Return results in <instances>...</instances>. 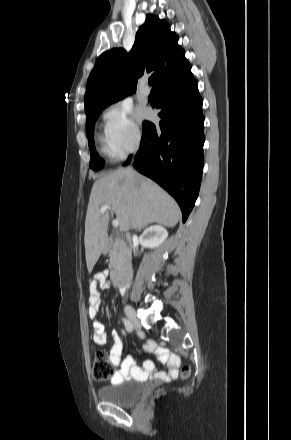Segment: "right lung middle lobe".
Segmentation results:
<instances>
[{"mask_svg": "<svg viewBox=\"0 0 291 440\" xmlns=\"http://www.w3.org/2000/svg\"><path fill=\"white\" fill-rule=\"evenodd\" d=\"M107 106L108 105L99 106L86 113V134L89 140V149L91 153V160L89 166L93 170H99L103 167V165L100 163L101 159L99 155L95 152V146L93 142V132H94V123L99 113Z\"/></svg>", "mask_w": 291, "mask_h": 440, "instance_id": "right-lung-middle-lobe-1", "label": "right lung middle lobe"}]
</instances>
